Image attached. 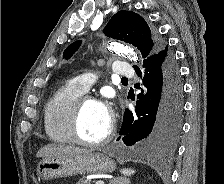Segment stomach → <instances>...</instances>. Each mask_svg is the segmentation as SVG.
<instances>
[{
    "label": "stomach",
    "mask_w": 224,
    "mask_h": 184,
    "mask_svg": "<svg viewBox=\"0 0 224 184\" xmlns=\"http://www.w3.org/2000/svg\"><path fill=\"white\" fill-rule=\"evenodd\" d=\"M115 169L114 162L104 153H80L76 155L44 158L37 166V175L43 180L71 175L104 174Z\"/></svg>",
    "instance_id": "0dacf381"
}]
</instances>
